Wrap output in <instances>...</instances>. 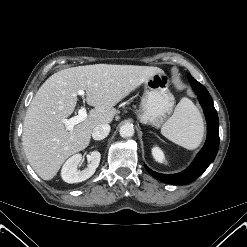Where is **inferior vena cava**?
<instances>
[{"instance_id": "602c4592", "label": "inferior vena cava", "mask_w": 247, "mask_h": 247, "mask_svg": "<svg viewBox=\"0 0 247 247\" xmlns=\"http://www.w3.org/2000/svg\"><path fill=\"white\" fill-rule=\"evenodd\" d=\"M110 132L109 124L97 125L92 131V137L94 140H102L108 136Z\"/></svg>"}]
</instances>
